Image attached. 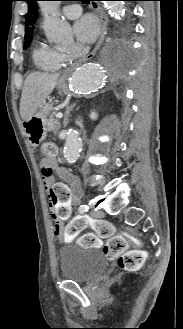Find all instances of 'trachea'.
<instances>
[{
    "mask_svg": "<svg viewBox=\"0 0 183 329\" xmlns=\"http://www.w3.org/2000/svg\"><path fill=\"white\" fill-rule=\"evenodd\" d=\"M79 1H82L83 3L88 4L90 0H79Z\"/></svg>",
    "mask_w": 183,
    "mask_h": 329,
    "instance_id": "trachea-1",
    "label": "trachea"
}]
</instances>
